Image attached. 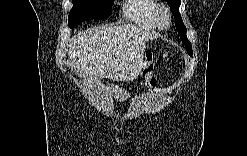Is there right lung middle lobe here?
Wrapping results in <instances>:
<instances>
[{
	"instance_id": "1",
	"label": "right lung middle lobe",
	"mask_w": 247,
	"mask_h": 156,
	"mask_svg": "<svg viewBox=\"0 0 247 156\" xmlns=\"http://www.w3.org/2000/svg\"><path fill=\"white\" fill-rule=\"evenodd\" d=\"M113 3V0H73L68 26L72 28L85 20H101L110 16Z\"/></svg>"
}]
</instances>
